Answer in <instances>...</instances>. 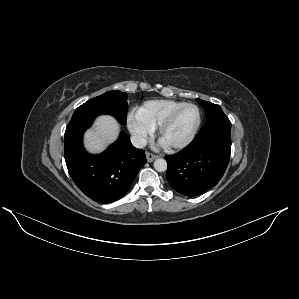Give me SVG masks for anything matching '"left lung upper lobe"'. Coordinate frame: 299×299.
Returning a JSON list of instances; mask_svg holds the SVG:
<instances>
[{"label": "left lung upper lobe", "mask_w": 299, "mask_h": 299, "mask_svg": "<svg viewBox=\"0 0 299 299\" xmlns=\"http://www.w3.org/2000/svg\"><path fill=\"white\" fill-rule=\"evenodd\" d=\"M196 101L202 105L204 108L205 114L207 116V121L216 118H226L227 116L222 111L219 105L213 104L211 102H207L201 99H196Z\"/></svg>", "instance_id": "obj_1"}]
</instances>
